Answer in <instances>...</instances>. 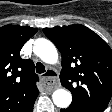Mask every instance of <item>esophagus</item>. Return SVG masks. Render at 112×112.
<instances>
[{
	"instance_id": "1",
	"label": "esophagus",
	"mask_w": 112,
	"mask_h": 112,
	"mask_svg": "<svg viewBox=\"0 0 112 112\" xmlns=\"http://www.w3.org/2000/svg\"><path fill=\"white\" fill-rule=\"evenodd\" d=\"M41 80L45 87L49 91H53L58 87V80L56 77V73L53 70H48L42 77Z\"/></svg>"
}]
</instances>
